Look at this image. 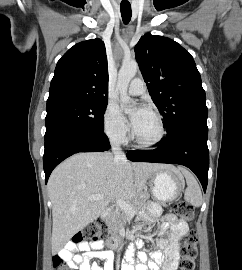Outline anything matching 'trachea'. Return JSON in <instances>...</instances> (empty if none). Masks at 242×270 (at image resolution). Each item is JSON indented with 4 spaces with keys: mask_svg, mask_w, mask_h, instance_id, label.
<instances>
[{
    "mask_svg": "<svg viewBox=\"0 0 242 270\" xmlns=\"http://www.w3.org/2000/svg\"><path fill=\"white\" fill-rule=\"evenodd\" d=\"M131 7L130 5H121V16L124 24H128L131 19Z\"/></svg>",
    "mask_w": 242,
    "mask_h": 270,
    "instance_id": "3493384b",
    "label": "trachea"
}]
</instances>
